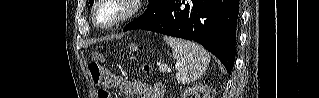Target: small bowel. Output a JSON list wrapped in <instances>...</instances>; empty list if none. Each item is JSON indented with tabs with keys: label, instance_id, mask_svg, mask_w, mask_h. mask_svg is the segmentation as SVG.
I'll return each mask as SVG.
<instances>
[{
	"label": "small bowel",
	"instance_id": "1",
	"mask_svg": "<svg viewBox=\"0 0 319 98\" xmlns=\"http://www.w3.org/2000/svg\"><path fill=\"white\" fill-rule=\"evenodd\" d=\"M107 85L119 89L126 97L162 98L161 85H149L139 81H127L119 76L110 75Z\"/></svg>",
	"mask_w": 319,
	"mask_h": 98
}]
</instances>
